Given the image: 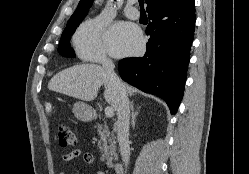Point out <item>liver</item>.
I'll use <instances>...</instances> for the list:
<instances>
[{"instance_id": "6515ba94", "label": "liver", "mask_w": 249, "mask_h": 174, "mask_svg": "<svg viewBox=\"0 0 249 174\" xmlns=\"http://www.w3.org/2000/svg\"><path fill=\"white\" fill-rule=\"evenodd\" d=\"M125 91L133 95L136 89L123 83ZM101 86L105 87L104 98L117 110V92L106 70L97 64H81L57 73L48 83V89L83 101L97 97Z\"/></svg>"}]
</instances>
